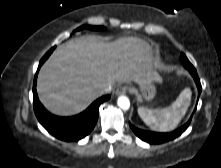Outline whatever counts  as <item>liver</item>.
<instances>
[{
  "label": "liver",
  "mask_w": 221,
  "mask_h": 168,
  "mask_svg": "<svg viewBox=\"0 0 221 168\" xmlns=\"http://www.w3.org/2000/svg\"><path fill=\"white\" fill-rule=\"evenodd\" d=\"M150 46L135 37L103 42L95 36L59 46L41 68L37 91L52 113L69 116L83 111L116 83L142 84L157 76Z\"/></svg>",
  "instance_id": "liver-1"
}]
</instances>
